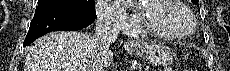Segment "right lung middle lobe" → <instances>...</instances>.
Segmentation results:
<instances>
[{"label":"right lung middle lobe","mask_w":230,"mask_h":71,"mask_svg":"<svg viewBox=\"0 0 230 71\" xmlns=\"http://www.w3.org/2000/svg\"><path fill=\"white\" fill-rule=\"evenodd\" d=\"M53 8H71L96 15L94 0H38L36 11Z\"/></svg>","instance_id":"right-lung-middle-lobe-1"}]
</instances>
